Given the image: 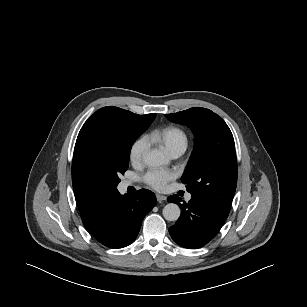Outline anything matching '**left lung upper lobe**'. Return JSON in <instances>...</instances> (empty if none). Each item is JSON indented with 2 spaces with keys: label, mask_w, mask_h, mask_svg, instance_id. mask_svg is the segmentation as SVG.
I'll list each match as a JSON object with an SVG mask.
<instances>
[{
  "label": "left lung upper lobe",
  "mask_w": 307,
  "mask_h": 307,
  "mask_svg": "<svg viewBox=\"0 0 307 307\" xmlns=\"http://www.w3.org/2000/svg\"><path fill=\"white\" fill-rule=\"evenodd\" d=\"M187 125L195 146L182 175L192 198L227 218L237 185V159L233 135L224 120L209 109L194 107L166 114Z\"/></svg>",
  "instance_id": "left-lung-upper-lobe-1"
}]
</instances>
